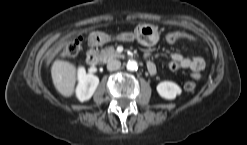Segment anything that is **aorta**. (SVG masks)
<instances>
[{
	"instance_id": "aorta-1",
	"label": "aorta",
	"mask_w": 247,
	"mask_h": 145,
	"mask_svg": "<svg viewBox=\"0 0 247 145\" xmlns=\"http://www.w3.org/2000/svg\"><path fill=\"white\" fill-rule=\"evenodd\" d=\"M127 70L136 71L138 69V64L134 60H129L126 65Z\"/></svg>"
}]
</instances>
